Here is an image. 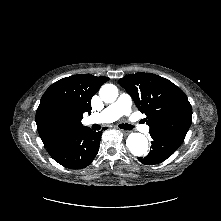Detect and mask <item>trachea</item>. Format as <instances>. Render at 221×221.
<instances>
[{
    "label": "trachea",
    "instance_id": "3493384b",
    "mask_svg": "<svg viewBox=\"0 0 221 221\" xmlns=\"http://www.w3.org/2000/svg\"><path fill=\"white\" fill-rule=\"evenodd\" d=\"M92 127L94 130L100 129V125H98V124H94ZM119 128L124 129V130H132L134 128V126L130 125V124H119Z\"/></svg>",
    "mask_w": 221,
    "mask_h": 221
}]
</instances>
